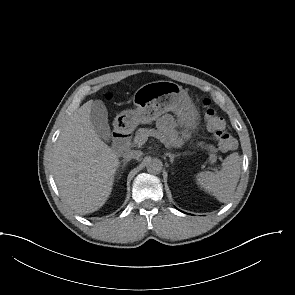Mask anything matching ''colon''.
<instances>
[{
	"mask_svg": "<svg viewBox=\"0 0 295 295\" xmlns=\"http://www.w3.org/2000/svg\"><path fill=\"white\" fill-rule=\"evenodd\" d=\"M204 107V120L207 127L214 133L219 147L224 150H232L236 147L234 137L226 130L224 119L212 108L211 101L207 98L202 100Z\"/></svg>",
	"mask_w": 295,
	"mask_h": 295,
	"instance_id": "colon-1",
	"label": "colon"
}]
</instances>
